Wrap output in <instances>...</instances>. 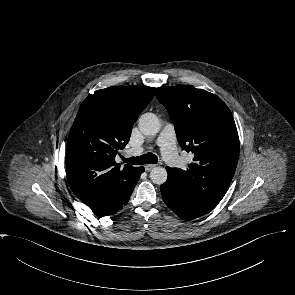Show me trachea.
Here are the masks:
<instances>
[{"instance_id":"obj_1","label":"trachea","mask_w":295,"mask_h":295,"mask_svg":"<svg viewBox=\"0 0 295 295\" xmlns=\"http://www.w3.org/2000/svg\"><path fill=\"white\" fill-rule=\"evenodd\" d=\"M125 163H129L132 165H142V164H157L158 157L153 153L148 152L147 154L131 157V158H122Z\"/></svg>"}]
</instances>
